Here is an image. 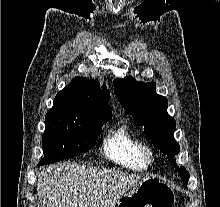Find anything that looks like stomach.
<instances>
[{
	"label": "stomach",
	"instance_id": "1",
	"mask_svg": "<svg viewBox=\"0 0 220 207\" xmlns=\"http://www.w3.org/2000/svg\"><path fill=\"white\" fill-rule=\"evenodd\" d=\"M174 203L175 195L169 185L154 177H144L113 207H173Z\"/></svg>",
	"mask_w": 220,
	"mask_h": 207
}]
</instances>
